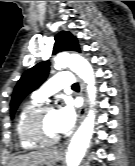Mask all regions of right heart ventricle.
Wrapping results in <instances>:
<instances>
[{
    "mask_svg": "<svg viewBox=\"0 0 135 166\" xmlns=\"http://www.w3.org/2000/svg\"><path fill=\"white\" fill-rule=\"evenodd\" d=\"M40 104H41L40 100L36 98H32L31 100L27 101L25 104L22 105L16 117L15 126H14V134L20 147L25 150L34 149L38 146V144L27 140L23 136L22 130H21L22 121L29 110H31L32 108Z\"/></svg>",
    "mask_w": 135,
    "mask_h": 166,
    "instance_id": "right-heart-ventricle-1",
    "label": "right heart ventricle"
}]
</instances>
